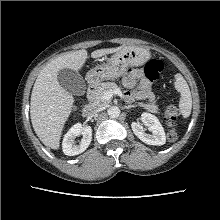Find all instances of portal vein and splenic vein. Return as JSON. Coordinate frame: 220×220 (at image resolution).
<instances>
[{
	"label": "portal vein and splenic vein",
	"instance_id": "portal-vein-and-splenic-vein-1",
	"mask_svg": "<svg viewBox=\"0 0 220 220\" xmlns=\"http://www.w3.org/2000/svg\"><path fill=\"white\" fill-rule=\"evenodd\" d=\"M114 94L118 95L122 99L124 98V96H123L120 89H114V90H110V91L105 92L104 99L105 100H111Z\"/></svg>",
	"mask_w": 220,
	"mask_h": 220
}]
</instances>
